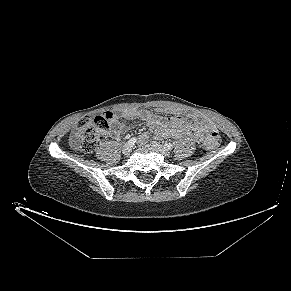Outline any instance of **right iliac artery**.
I'll return each instance as SVG.
<instances>
[{"mask_svg": "<svg viewBox=\"0 0 291 291\" xmlns=\"http://www.w3.org/2000/svg\"><path fill=\"white\" fill-rule=\"evenodd\" d=\"M136 141H137V139L135 138V137H133V138H131L128 142H127V144H129V145H134L135 143H136Z\"/></svg>", "mask_w": 291, "mask_h": 291, "instance_id": "1", "label": "right iliac artery"}]
</instances>
